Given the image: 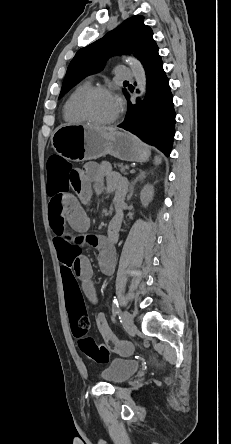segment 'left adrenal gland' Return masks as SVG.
I'll return each mask as SVG.
<instances>
[{"label": "left adrenal gland", "instance_id": "1", "mask_svg": "<svg viewBox=\"0 0 231 444\" xmlns=\"http://www.w3.org/2000/svg\"><path fill=\"white\" fill-rule=\"evenodd\" d=\"M145 177H146V172L141 171L140 174L135 178V180H133V181L131 182V184H130L129 195L127 196V200H128V201L132 198L135 184H136L138 181L143 180Z\"/></svg>", "mask_w": 231, "mask_h": 444}]
</instances>
